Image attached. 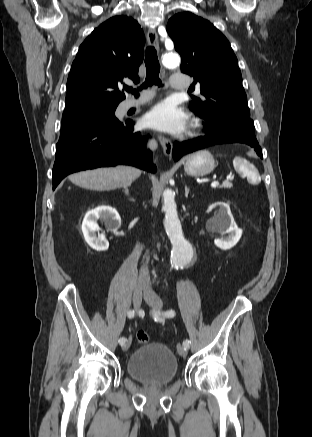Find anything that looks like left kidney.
Returning a JSON list of instances; mask_svg holds the SVG:
<instances>
[{"label": "left kidney", "instance_id": "left-kidney-1", "mask_svg": "<svg viewBox=\"0 0 312 437\" xmlns=\"http://www.w3.org/2000/svg\"><path fill=\"white\" fill-rule=\"evenodd\" d=\"M213 206H219V210L213 218L208 220L207 225L212 232L221 234L220 238H215L214 244L220 249L228 250L238 243L242 230L235 223L228 204L217 202Z\"/></svg>", "mask_w": 312, "mask_h": 437}]
</instances>
